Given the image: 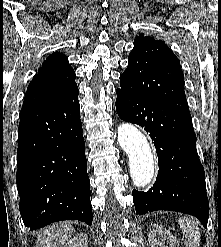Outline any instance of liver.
<instances>
[{
    "label": "liver",
    "mask_w": 221,
    "mask_h": 247,
    "mask_svg": "<svg viewBox=\"0 0 221 247\" xmlns=\"http://www.w3.org/2000/svg\"><path fill=\"white\" fill-rule=\"evenodd\" d=\"M70 224H52L38 234L37 247H60L74 234Z\"/></svg>",
    "instance_id": "6515ba94"
}]
</instances>
